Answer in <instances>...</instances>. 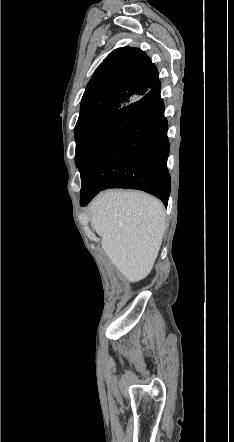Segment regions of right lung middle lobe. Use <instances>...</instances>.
<instances>
[{"label":"right lung middle lobe","mask_w":234,"mask_h":442,"mask_svg":"<svg viewBox=\"0 0 234 442\" xmlns=\"http://www.w3.org/2000/svg\"><path fill=\"white\" fill-rule=\"evenodd\" d=\"M118 111H106L79 119L75 127V163L79 167L83 159L103 135Z\"/></svg>","instance_id":"right-lung-middle-lobe-1"}]
</instances>
